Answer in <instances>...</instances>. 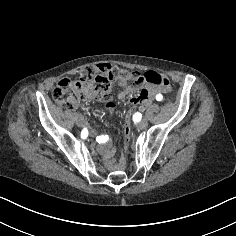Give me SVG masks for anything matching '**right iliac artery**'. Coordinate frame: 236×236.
Returning <instances> with one entry per match:
<instances>
[{
  "label": "right iliac artery",
  "instance_id": "1",
  "mask_svg": "<svg viewBox=\"0 0 236 236\" xmlns=\"http://www.w3.org/2000/svg\"><path fill=\"white\" fill-rule=\"evenodd\" d=\"M87 136H88V130H87V128H84L81 132V138L86 139Z\"/></svg>",
  "mask_w": 236,
  "mask_h": 236
}]
</instances>
